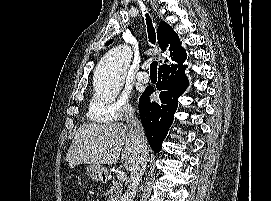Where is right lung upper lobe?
<instances>
[{
  "label": "right lung upper lobe",
  "mask_w": 271,
  "mask_h": 201,
  "mask_svg": "<svg viewBox=\"0 0 271 201\" xmlns=\"http://www.w3.org/2000/svg\"><path fill=\"white\" fill-rule=\"evenodd\" d=\"M157 37L159 46L166 55V59L163 60L164 63H171L183 54L184 49L181 47V42L178 35L166 22L162 21L159 24L157 29ZM112 41L113 40L108 41L106 46L112 43Z\"/></svg>",
  "instance_id": "cb5924a9"
}]
</instances>
